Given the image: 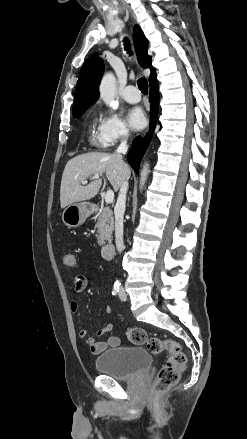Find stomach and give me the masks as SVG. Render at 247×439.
Returning a JSON list of instances; mask_svg holds the SVG:
<instances>
[{"mask_svg": "<svg viewBox=\"0 0 247 439\" xmlns=\"http://www.w3.org/2000/svg\"><path fill=\"white\" fill-rule=\"evenodd\" d=\"M89 214L90 208L87 203H74L65 208L62 221L66 226L76 228L86 221Z\"/></svg>", "mask_w": 247, "mask_h": 439, "instance_id": "obj_1", "label": "stomach"}]
</instances>
